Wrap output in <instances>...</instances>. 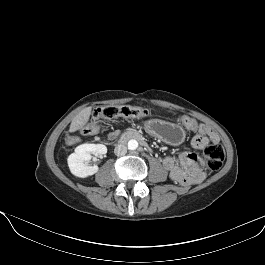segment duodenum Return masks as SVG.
<instances>
[{"instance_id": "duodenum-1", "label": "duodenum", "mask_w": 265, "mask_h": 265, "mask_svg": "<svg viewBox=\"0 0 265 265\" xmlns=\"http://www.w3.org/2000/svg\"><path fill=\"white\" fill-rule=\"evenodd\" d=\"M131 139L137 140L139 141L142 146L145 148V150H147L148 152L151 151L150 146L146 143V141L144 140L143 136L137 132V131H127L124 134H122L120 136V138L118 139V144H123Z\"/></svg>"}]
</instances>
